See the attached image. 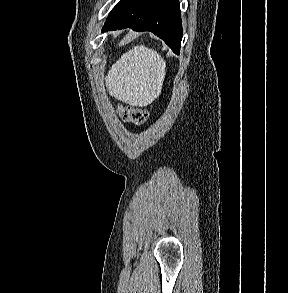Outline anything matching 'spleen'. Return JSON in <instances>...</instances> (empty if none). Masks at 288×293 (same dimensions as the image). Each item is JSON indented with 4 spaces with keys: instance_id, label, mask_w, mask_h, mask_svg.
Listing matches in <instances>:
<instances>
[{
    "instance_id": "obj_1",
    "label": "spleen",
    "mask_w": 288,
    "mask_h": 293,
    "mask_svg": "<svg viewBox=\"0 0 288 293\" xmlns=\"http://www.w3.org/2000/svg\"><path fill=\"white\" fill-rule=\"evenodd\" d=\"M165 68L166 62L155 50L135 46L108 71L109 94L132 106H146L160 95Z\"/></svg>"
}]
</instances>
